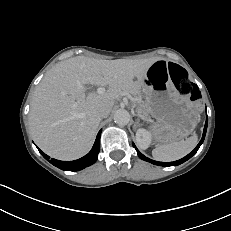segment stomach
<instances>
[{
    "mask_svg": "<svg viewBox=\"0 0 231 231\" xmlns=\"http://www.w3.org/2000/svg\"><path fill=\"white\" fill-rule=\"evenodd\" d=\"M145 101L155 119L152 131L158 143H173L187 137L199 120V109L189 95H181L173 83L168 64L154 62L143 79Z\"/></svg>",
    "mask_w": 231,
    "mask_h": 231,
    "instance_id": "0dacf381",
    "label": "stomach"
}]
</instances>
